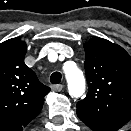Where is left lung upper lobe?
Segmentation results:
<instances>
[{"label": "left lung upper lobe", "instance_id": "obj_1", "mask_svg": "<svg viewBox=\"0 0 131 131\" xmlns=\"http://www.w3.org/2000/svg\"><path fill=\"white\" fill-rule=\"evenodd\" d=\"M86 98L77 115L93 131H117L131 119V57L119 45L93 37L84 43Z\"/></svg>", "mask_w": 131, "mask_h": 131}]
</instances>
